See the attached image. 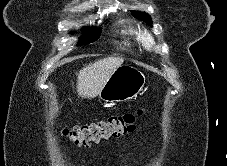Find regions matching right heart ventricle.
<instances>
[{"label": "right heart ventricle", "mask_w": 227, "mask_h": 166, "mask_svg": "<svg viewBox=\"0 0 227 166\" xmlns=\"http://www.w3.org/2000/svg\"><path fill=\"white\" fill-rule=\"evenodd\" d=\"M118 27V32L120 33L121 41L124 45L129 46L139 41L138 31L131 26L120 23Z\"/></svg>", "instance_id": "e07e8e85"}]
</instances>
